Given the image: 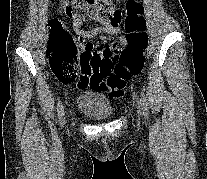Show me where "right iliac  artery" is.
<instances>
[{
    "label": "right iliac artery",
    "instance_id": "obj_1",
    "mask_svg": "<svg viewBox=\"0 0 207 179\" xmlns=\"http://www.w3.org/2000/svg\"><path fill=\"white\" fill-rule=\"evenodd\" d=\"M57 112H58V118L60 121H63V116H64V107L61 102L58 103L57 106Z\"/></svg>",
    "mask_w": 207,
    "mask_h": 179
}]
</instances>
